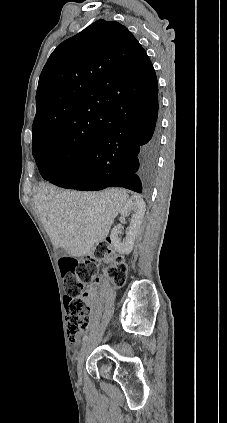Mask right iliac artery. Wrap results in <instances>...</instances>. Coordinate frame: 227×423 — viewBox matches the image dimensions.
<instances>
[{
  "instance_id": "82829eb1",
  "label": "right iliac artery",
  "mask_w": 227,
  "mask_h": 423,
  "mask_svg": "<svg viewBox=\"0 0 227 423\" xmlns=\"http://www.w3.org/2000/svg\"><path fill=\"white\" fill-rule=\"evenodd\" d=\"M87 340H88V336H87V335H85V336L83 337V342L85 343Z\"/></svg>"
}]
</instances>
